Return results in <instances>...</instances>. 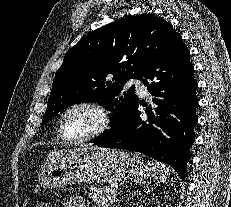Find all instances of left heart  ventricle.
<instances>
[{"label": "left heart ventricle", "instance_id": "1", "mask_svg": "<svg viewBox=\"0 0 231 207\" xmlns=\"http://www.w3.org/2000/svg\"><path fill=\"white\" fill-rule=\"evenodd\" d=\"M99 118L90 108L79 107L72 110L65 118L64 126L70 137H82L98 126Z\"/></svg>", "mask_w": 231, "mask_h": 207}]
</instances>
